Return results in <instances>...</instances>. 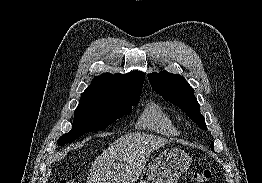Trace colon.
Wrapping results in <instances>:
<instances>
[{"label":"colon","mask_w":262,"mask_h":183,"mask_svg":"<svg viewBox=\"0 0 262 183\" xmlns=\"http://www.w3.org/2000/svg\"><path fill=\"white\" fill-rule=\"evenodd\" d=\"M211 177V172L209 170H196L193 172V180L195 183H207ZM59 183H75L72 179H65Z\"/></svg>","instance_id":"5ec220e1"}]
</instances>
